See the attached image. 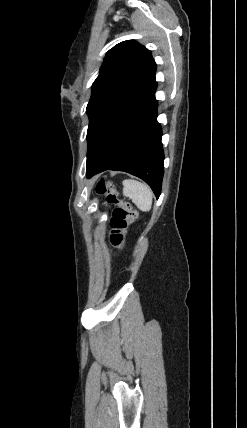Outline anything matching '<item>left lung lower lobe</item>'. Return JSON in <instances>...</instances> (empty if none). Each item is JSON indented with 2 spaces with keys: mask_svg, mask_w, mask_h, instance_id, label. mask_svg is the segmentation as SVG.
<instances>
[{
  "mask_svg": "<svg viewBox=\"0 0 247 428\" xmlns=\"http://www.w3.org/2000/svg\"><path fill=\"white\" fill-rule=\"evenodd\" d=\"M156 88L155 81L104 124L87 154L88 178L105 170L125 171L144 180L160 196L164 153L156 120Z\"/></svg>",
  "mask_w": 247,
  "mask_h": 428,
  "instance_id": "1",
  "label": "left lung lower lobe"
}]
</instances>
